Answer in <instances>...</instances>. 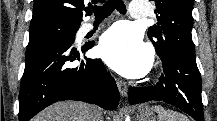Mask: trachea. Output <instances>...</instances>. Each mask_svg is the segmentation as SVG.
<instances>
[{"mask_svg": "<svg viewBox=\"0 0 217 121\" xmlns=\"http://www.w3.org/2000/svg\"><path fill=\"white\" fill-rule=\"evenodd\" d=\"M92 9L96 19H104L110 16L115 9L121 14L126 13V6L122 0H108L100 7L92 6Z\"/></svg>", "mask_w": 217, "mask_h": 121, "instance_id": "3493384b", "label": "trachea"}]
</instances>
